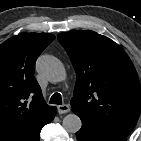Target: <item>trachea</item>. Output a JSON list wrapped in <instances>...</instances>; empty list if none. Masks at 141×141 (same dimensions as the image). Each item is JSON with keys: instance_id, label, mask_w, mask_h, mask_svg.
<instances>
[{"instance_id": "obj_1", "label": "trachea", "mask_w": 141, "mask_h": 141, "mask_svg": "<svg viewBox=\"0 0 141 141\" xmlns=\"http://www.w3.org/2000/svg\"><path fill=\"white\" fill-rule=\"evenodd\" d=\"M50 104L61 105L62 104L61 94L59 93L53 94L52 97L50 98Z\"/></svg>"}]
</instances>
